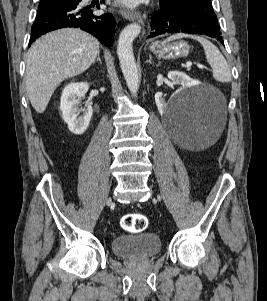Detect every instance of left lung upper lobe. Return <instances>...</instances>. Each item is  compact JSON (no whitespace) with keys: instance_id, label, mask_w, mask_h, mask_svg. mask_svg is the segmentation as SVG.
Returning a JSON list of instances; mask_svg holds the SVG:
<instances>
[{"instance_id":"1","label":"left lung upper lobe","mask_w":267,"mask_h":301,"mask_svg":"<svg viewBox=\"0 0 267 301\" xmlns=\"http://www.w3.org/2000/svg\"><path fill=\"white\" fill-rule=\"evenodd\" d=\"M160 5L164 7L184 8L212 22L218 23L211 0H160Z\"/></svg>"}]
</instances>
